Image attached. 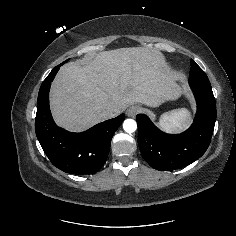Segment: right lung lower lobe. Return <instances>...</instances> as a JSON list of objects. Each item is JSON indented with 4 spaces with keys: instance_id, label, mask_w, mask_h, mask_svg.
Listing matches in <instances>:
<instances>
[{
    "instance_id": "right-lung-lower-lobe-1",
    "label": "right lung lower lobe",
    "mask_w": 236,
    "mask_h": 236,
    "mask_svg": "<svg viewBox=\"0 0 236 236\" xmlns=\"http://www.w3.org/2000/svg\"><path fill=\"white\" fill-rule=\"evenodd\" d=\"M63 64L56 66L40 87L35 119L36 135L45 154L58 169L70 174H93L106 162L112 136L125 115L99 123L82 133H71L58 127L49 108V90Z\"/></svg>"
}]
</instances>
